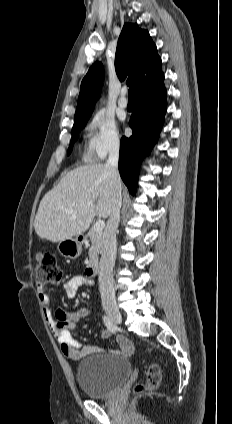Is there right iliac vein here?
Here are the masks:
<instances>
[{
  "label": "right iliac vein",
  "mask_w": 232,
  "mask_h": 424,
  "mask_svg": "<svg viewBox=\"0 0 232 424\" xmlns=\"http://www.w3.org/2000/svg\"><path fill=\"white\" fill-rule=\"evenodd\" d=\"M104 310L115 324H121L122 316L118 307L115 304H112V303L104 304Z\"/></svg>",
  "instance_id": "right-iliac-vein-1"
}]
</instances>
